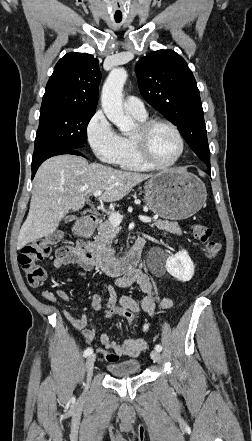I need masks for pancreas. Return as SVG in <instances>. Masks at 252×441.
I'll list each match as a JSON object with an SVG mask.
<instances>
[{"label":"pancreas","instance_id":"pancreas-1","mask_svg":"<svg viewBox=\"0 0 252 441\" xmlns=\"http://www.w3.org/2000/svg\"><path fill=\"white\" fill-rule=\"evenodd\" d=\"M152 226L173 234H181L182 230L177 222L156 220ZM98 233L94 237V248L102 258H110L114 254L111 243L116 238L119 229L113 226L109 220H101L97 229Z\"/></svg>","mask_w":252,"mask_h":441}]
</instances>
